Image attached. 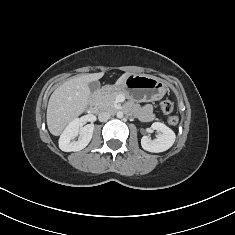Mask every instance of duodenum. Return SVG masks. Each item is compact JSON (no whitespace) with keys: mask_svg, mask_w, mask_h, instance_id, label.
<instances>
[{"mask_svg":"<svg viewBox=\"0 0 235 235\" xmlns=\"http://www.w3.org/2000/svg\"><path fill=\"white\" fill-rule=\"evenodd\" d=\"M112 91H113V89L110 86H105L102 89H100L98 93L101 95H104V94H108ZM89 110H90V112H94V107L90 106Z\"/></svg>","mask_w":235,"mask_h":235,"instance_id":"obj_1","label":"duodenum"}]
</instances>
